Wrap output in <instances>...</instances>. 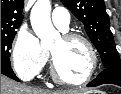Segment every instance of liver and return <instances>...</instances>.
<instances>
[{
  "mask_svg": "<svg viewBox=\"0 0 121 94\" xmlns=\"http://www.w3.org/2000/svg\"><path fill=\"white\" fill-rule=\"evenodd\" d=\"M1 94H81L79 90H44L19 84L1 74Z\"/></svg>",
  "mask_w": 121,
  "mask_h": 94,
  "instance_id": "1",
  "label": "liver"
}]
</instances>
